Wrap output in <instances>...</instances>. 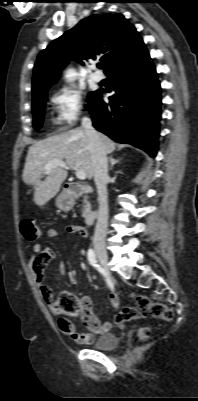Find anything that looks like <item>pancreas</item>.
<instances>
[{
	"label": "pancreas",
	"mask_w": 198,
	"mask_h": 401,
	"mask_svg": "<svg viewBox=\"0 0 198 401\" xmlns=\"http://www.w3.org/2000/svg\"><path fill=\"white\" fill-rule=\"evenodd\" d=\"M88 199L87 196L84 197V205H83V216L85 215L86 212V208L89 206V202H87L86 200Z\"/></svg>",
	"instance_id": "1"
}]
</instances>
